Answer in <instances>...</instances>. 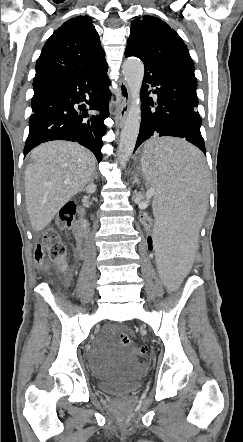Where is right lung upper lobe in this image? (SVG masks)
<instances>
[{"instance_id":"right-lung-upper-lobe-1","label":"right lung upper lobe","mask_w":243,"mask_h":442,"mask_svg":"<svg viewBox=\"0 0 243 442\" xmlns=\"http://www.w3.org/2000/svg\"><path fill=\"white\" fill-rule=\"evenodd\" d=\"M107 65L92 19L78 16L66 21L45 43L36 63L34 81L88 72Z\"/></svg>"}]
</instances>
